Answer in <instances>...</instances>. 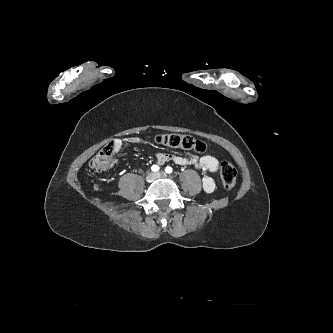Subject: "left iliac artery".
I'll return each mask as SVG.
<instances>
[{
    "label": "left iliac artery",
    "instance_id": "left-iliac-artery-1",
    "mask_svg": "<svg viewBox=\"0 0 333 333\" xmlns=\"http://www.w3.org/2000/svg\"><path fill=\"white\" fill-rule=\"evenodd\" d=\"M165 171H166V173L170 174V173H172L173 170H172V168L170 166H167L165 168Z\"/></svg>",
    "mask_w": 333,
    "mask_h": 333
}]
</instances>
